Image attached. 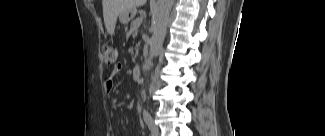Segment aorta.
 I'll list each match as a JSON object with an SVG mask.
<instances>
[{
	"mask_svg": "<svg viewBox=\"0 0 325 136\" xmlns=\"http://www.w3.org/2000/svg\"><path fill=\"white\" fill-rule=\"evenodd\" d=\"M174 0H158L152 15L153 34L150 39L149 59L158 56L167 32V25Z\"/></svg>",
	"mask_w": 325,
	"mask_h": 136,
	"instance_id": "1",
	"label": "aorta"
}]
</instances>
